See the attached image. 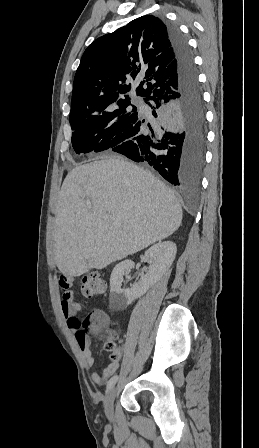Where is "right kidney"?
<instances>
[{
  "label": "right kidney",
  "instance_id": "ca27d5eb",
  "mask_svg": "<svg viewBox=\"0 0 259 448\" xmlns=\"http://www.w3.org/2000/svg\"><path fill=\"white\" fill-rule=\"evenodd\" d=\"M176 252L177 248L174 242H159V244L151 246L145 252V258H147L150 264L147 274H143L139 282H136L128 290H121L123 276L125 272H130L134 268V262L132 260H124V262L117 264L114 270H112L110 278L109 300L112 310H125L133 300L144 296L147 290L152 288L154 284H157L160 278L171 268Z\"/></svg>",
  "mask_w": 259,
  "mask_h": 448
}]
</instances>
